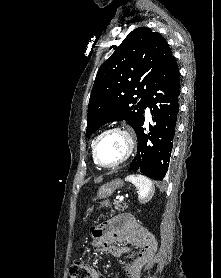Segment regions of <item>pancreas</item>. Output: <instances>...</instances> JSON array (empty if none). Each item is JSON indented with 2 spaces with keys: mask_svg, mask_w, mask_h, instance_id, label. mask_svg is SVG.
<instances>
[{
  "mask_svg": "<svg viewBox=\"0 0 221 278\" xmlns=\"http://www.w3.org/2000/svg\"><path fill=\"white\" fill-rule=\"evenodd\" d=\"M114 208L118 211H124L127 206L126 205H122L119 201L114 203ZM112 212H114V210H112Z\"/></svg>",
  "mask_w": 221,
  "mask_h": 278,
  "instance_id": "obj_1",
  "label": "pancreas"
}]
</instances>
